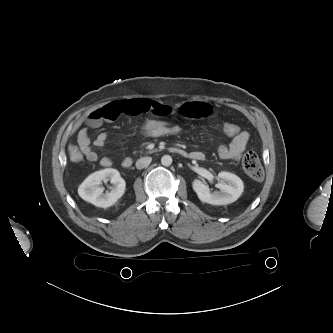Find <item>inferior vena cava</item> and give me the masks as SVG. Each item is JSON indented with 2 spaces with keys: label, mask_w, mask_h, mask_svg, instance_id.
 <instances>
[{
  "label": "inferior vena cava",
  "mask_w": 333,
  "mask_h": 333,
  "mask_svg": "<svg viewBox=\"0 0 333 333\" xmlns=\"http://www.w3.org/2000/svg\"><path fill=\"white\" fill-rule=\"evenodd\" d=\"M152 161L151 157H143L140 158L136 161V168L137 169H143L145 167H147Z\"/></svg>",
  "instance_id": "obj_1"
}]
</instances>
